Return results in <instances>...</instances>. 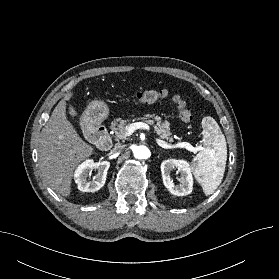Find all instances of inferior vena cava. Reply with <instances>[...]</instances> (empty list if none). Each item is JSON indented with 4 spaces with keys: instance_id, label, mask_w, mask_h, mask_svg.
Wrapping results in <instances>:
<instances>
[{
    "instance_id": "602c4592",
    "label": "inferior vena cava",
    "mask_w": 279,
    "mask_h": 279,
    "mask_svg": "<svg viewBox=\"0 0 279 279\" xmlns=\"http://www.w3.org/2000/svg\"><path fill=\"white\" fill-rule=\"evenodd\" d=\"M123 148V146L120 143L115 144L114 148L112 149L113 153H117L119 151H121Z\"/></svg>"
}]
</instances>
